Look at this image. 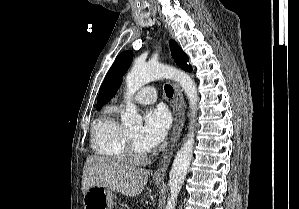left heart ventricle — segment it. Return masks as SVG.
I'll use <instances>...</instances> for the list:
<instances>
[{
    "mask_svg": "<svg viewBox=\"0 0 299 209\" xmlns=\"http://www.w3.org/2000/svg\"><path fill=\"white\" fill-rule=\"evenodd\" d=\"M140 128H134L131 130H128L127 133L129 136L132 138L137 150L141 153L147 152L148 150L139 142V133H140Z\"/></svg>",
    "mask_w": 299,
    "mask_h": 209,
    "instance_id": "1",
    "label": "left heart ventricle"
}]
</instances>
